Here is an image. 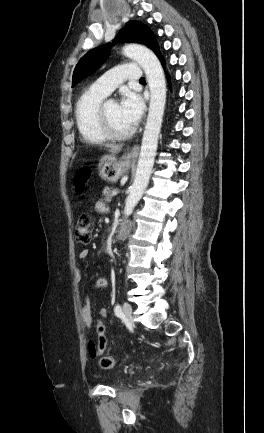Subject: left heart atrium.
I'll return each instance as SVG.
<instances>
[{
	"mask_svg": "<svg viewBox=\"0 0 264 433\" xmlns=\"http://www.w3.org/2000/svg\"><path fill=\"white\" fill-rule=\"evenodd\" d=\"M119 108L125 119L131 125H136L142 117L144 103L138 94L131 91H126L122 95Z\"/></svg>",
	"mask_w": 264,
	"mask_h": 433,
	"instance_id": "left-heart-atrium-1",
	"label": "left heart atrium"
}]
</instances>
